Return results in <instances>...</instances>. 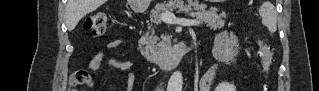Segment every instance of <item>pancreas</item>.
Wrapping results in <instances>:
<instances>
[{"instance_id":"obj_1","label":"pancreas","mask_w":319,"mask_h":91,"mask_svg":"<svg viewBox=\"0 0 319 91\" xmlns=\"http://www.w3.org/2000/svg\"><path fill=\"white\" fill-rule=\"evenodd\" d=\"M172 4H164L156 7L151 11L150 15V35H146V46L144 49V55L150 57L155 63H159L162 57L166 54L167 48L171 46V41L169 36H161V38L155 36V31L153 28V24L158 25L162 22V14L165 12H172L173 10H177L178 13L184 12L189 16L195 18L196 21L203 24L206 23L207 27L216 30L224 27L226 13H217L218 10L215 8H211L209 11L206 10V5H199L198 2L193 3L192 5L184 6L180 3H176V1ZM192 6L194 11L192 12ZM161 39V40H160ZM159 41V42H158Z\"/></svg>"}]
</instances>
